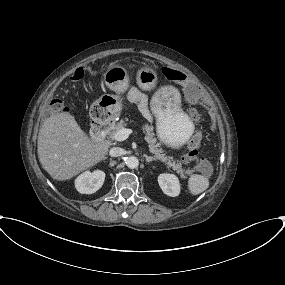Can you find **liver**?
Returning a JSON list of instances; mask_svg holds the SVG:
<instances>
[{"mask_svg":"<svg viewBox=\"0 0 285 285\" xmlns=\"http://www.w3.org/2000/svg\"><path fill=\"white\" fill-rule=\"evenodd\" d=\"M109 148V142L90 141L69 112L47 118L37 142L42 168L58 181L69 180L104 160Z\"/></svg>","mask_w":285,"mask_h":285,"instance_id":"obj_1","label":"liver"}]
</instances>
